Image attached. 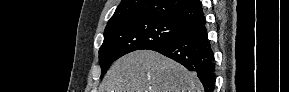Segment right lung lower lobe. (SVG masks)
Returning a JSON list of instances; mask_svg holds the SVG:
<instances>
[{"label": "right lung lower lobe", "mask_w": 289, "mask_h": 92, "mask_svg": "<svg viewBox=\"0 0 289 92\" xmlns=\"http://www.w3.org/2000/svg\"><path fill=\"white\" fill-rule=\"evenodd\" d=\"M205 23L202 15L191 21L178 36L149 50L157 51L196 72L205 92H213L215 63Z\"/></svg>", "instance_id": "obj_1"}]
</instances>
